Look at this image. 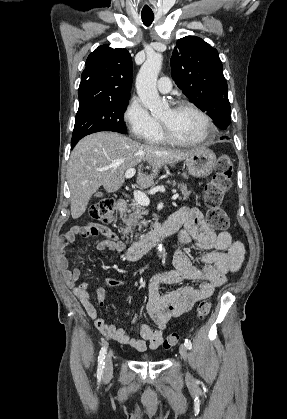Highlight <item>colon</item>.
Segmentation results:
<instances>
[{"label":"colon","mask_w":287,"mask_h":419,"mask_svg":"<svg viewBox=\"0 0 287 419\" xmlns=\"http://www.w3.org/2000/svg\"><path fill=\"white\" fill-rule=\"evenodd\" d=\"M233 162L230 156L221 155L217 159L216 173L206 185L204 201L207 207V219L210 227L215 230H225L229 227V218L222 208L223 197L231 186ZM91 217L105 224H113L116 220V207L113 198L107 197L98 201L91 209ZM211 310V301L203 299L197 308L199 318H205ZM180 339L177 333L169 334L162 341V348L170 349Z\"/></svg>","instance_id":"1"}]
</instances>
